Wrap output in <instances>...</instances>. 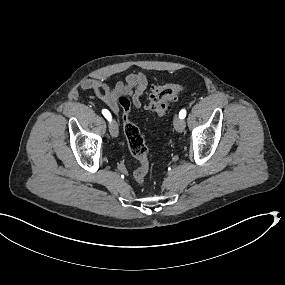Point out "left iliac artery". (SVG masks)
<instances>
[{
    "label": "left iliac artery",
    "instance_id": "obj_1",
    "mask_svg": "<svg viewBox=\"0 0 285 285\" xmlns=\"http://www.w3.org/2000/svg\"><path fill=\"white\" fill-rule=\"evenodd\" d=\"M185 116H186V110H185V109H182V110L179 112V117H180L181 119H184Z\"/></svg>",
    "mask_w": 285,
    "mask_h": 285
}]
</instances>
